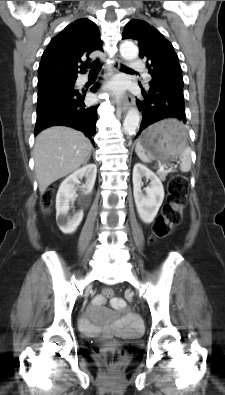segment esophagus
Masks as SVG:
<instances>
[{"label":"esophagus","instance_id":"1","mask_svg":"<svg viewBox=\"0 0 225 395\" xmlns=\"http://www.w3.org/2000/svg\"><path fill=\"white\" fill-rule=\"evenodd\" d=\"M122 63H123L122 58L120 56H117L113 63L114 72H118L120 70ZM133 102L134 99L132 97H126L122 101L119 100L117 101V108L122 112H126Z\"/></svg>","mask_w":225,"mask_h":395}]
</instances>
